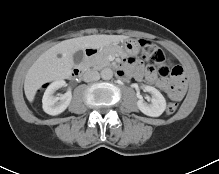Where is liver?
<instances>
[{"mask_svg":"<svg viewBox=\"0 0 219 174\" xmlns=\"http://www.w3.org/2000/svg\"><path fill=\"white\" fill-rule=\"evenodd\" d=\"M128 39L125 35H90L62 41L49 48L29 68L24 91L29 102H33L42 85L54 80L67 79L74 66L73 55L84 49H103L113 43Z\"/></svg>","mask_w":219,"mask_h":174,"instance_id":"liver-1","label":"liver"}]
</instances>
